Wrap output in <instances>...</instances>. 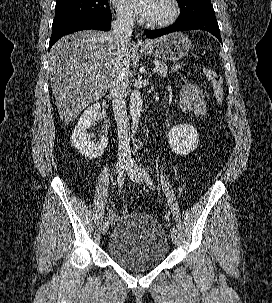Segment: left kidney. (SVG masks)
Segmentation results:
<instances>
[{"label":"left kidney","mask_w":272,"mask_h":303,"mask_svg":"<svg viewBox=\"0 0 272 303\" xmlns=\"http://www.w3.org/2000/svg\"><path fill=\"white\" fill-rule=\"evenodd\" d=\"M199 142V134L192 125H177L168 133V143L174 153L186 156L195 150Z\"/></svg>","instance_id":"1"}]
</instances>
